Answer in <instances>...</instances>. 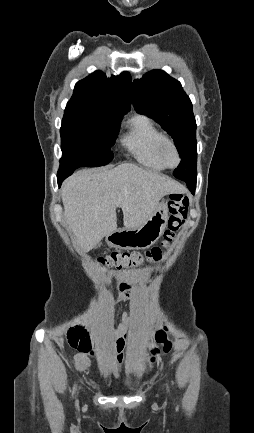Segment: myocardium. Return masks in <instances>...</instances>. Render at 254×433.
I'll list each match as a JSON object with an SVG mask.
<instances>
[{"label":"myocardium","mask_w":254,"mask_h":433,"mask_svg":"<svg viewBox=\"0 0 254 433\" xmlns=\"http://www.w3.org/2000/svg\"><path fill=\"white\" fill-rule=\"evenodd\" d=\"M166 145H170V146L173 148V150L175 151V153H176V156H177V164L174 165V166L168 165V164L165 162V160H164V157H163V148H164ZM157 156H158L159 160L162 162V164H163L166 168L173 169V168L178 167L179 164L181 163V154H180V151H179V149H178L177 144L175 143V141H174L173 139H171V138H169V137H166V136H164V137L159 141V143H158V145H157Z\"/></svg>","instance_id":"obj_1"}]
</instances>
